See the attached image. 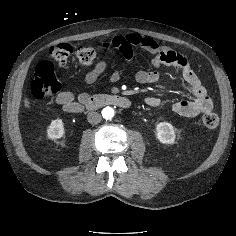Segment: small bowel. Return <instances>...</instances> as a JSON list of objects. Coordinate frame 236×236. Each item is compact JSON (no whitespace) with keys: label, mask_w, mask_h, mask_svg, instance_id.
I'll list each match as a JSON object with an SVG mask.
<instances>
[{"label":"small bowel","mask_w":236,"mask_h":236,"mask_svg":"<svg viewBox=\"0 0 236 236\" xmlns=\"http://www.w3.org/2000/svg\"><path fill=\"white\" fill-rule=\"evenodd\" d=\"M104 49H117L125 59L131 60L135 47H140L154 55L151 70H140L136 73L135 79L140 84H151L158 81L160 74L158 69L161 66H168L181 75L182 84L192 95L191 100H180L173 104V111L183 117H195L201 113L210 112L213 109V102L207 95L206 89L201 84L198 76L190 67L187 59L179 52L167 46L159 45L155 40L143 37L139 34H127L116 36L109 42L102 43ZM107 63L100 59L92 70L85 75V82L94 83L105 71ZM120 79V72L116 71L110 76V82L114 83ZM88 97L86 93L76 96L71 91H62L56 97V102L65 112L78 113L80 105ZM145 103L150 107H158L161 101L157 97H147Z\"/></svg>","instance_id":"obj_1"}]
</instances>
